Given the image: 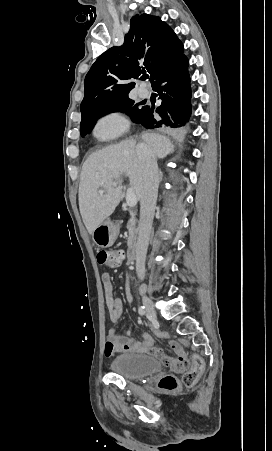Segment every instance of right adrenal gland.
Instances as JSON below:
<instances>
[{"mask_svg": "<svg viewBox=\"0 0 272 451\" xmlns=\"http://www.w3.org/2000/svg\"><path fill=\"white\" fill-rule=\"evenodd\" d=\"M163 174L160 172V182H162Z\"/></svg>", "mask_w": 272, "mask_h": 451, "instance_id": "right-adrenal-gland-1", "label": "right adrenal gland"}]
</instances>
